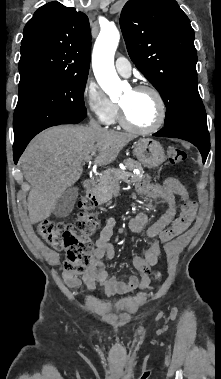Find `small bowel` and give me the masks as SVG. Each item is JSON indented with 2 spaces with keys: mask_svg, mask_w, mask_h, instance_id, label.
Instances as JSON below:
<instances>
[{
  "mask_svg": "<svg viewBox=\"0 0 221 379\" xmlns=\"http://www.w3.org/2000/svg\"><path fill=\"white\" fill-rule=\"evenodd\" d=\"M137 191L148 198L162 199L168 205L166 212L151 225H148L145 213H138L129 222L130 231L135 233L145 231L147 237L151 239L143 255L134 256L132 259L134 267L140 274V279L135 275H129L125 281L116 275H110L103 263V259L111 260L115 257V250L110 239L116 219L111 217L107 220L96 241L89 268L81 275L64 273L63 279L67 286L74 288L83 283L88 294L94 293L96 287L100 286L107 296L133 295L148 287L151 267L157 263L160 254V246L156 238L175 216L176 196L184 203L189 201V197L186 188L172 177L166 178L161 183H151L145 177L137 184Z\"/></svg>",
  "mask_w": 221,
  "mask_h": 379,
  "instance_id": "obj_1",
  "label": "small bowel"
}]
</instances>
